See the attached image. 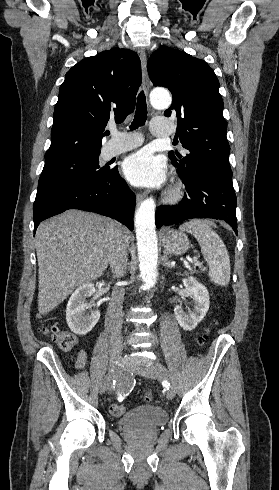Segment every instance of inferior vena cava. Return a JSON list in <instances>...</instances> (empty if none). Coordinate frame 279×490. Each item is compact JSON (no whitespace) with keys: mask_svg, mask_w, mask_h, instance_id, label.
Instances as JSON below:
<instances>
[{"mask_svg":"<svg viewBox=\"0 0 279 490\" xmlns=\"http://www.w3.org/2000/svg\"><path fill=\"white\" fill-rule=\"evenodd\" d=\"M127 238H123L117 232L112 242L111 250L108 254V262L114 278H120L126 274L128 252ZM125 292L122 288H114L106 312V322L115 330H121L123 324V300Z\"/></svg>","mask_w":279,"mask_h":490,"instance_id":"obj_1","label":"inferior vena cava"}]
</instances>
